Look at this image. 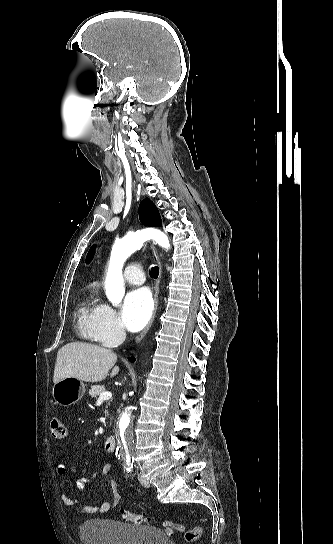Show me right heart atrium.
<instances>
[{
	"label": "right heart atrium",
	"mask_w": 333,
	"mask_h": 544,
	"mask_svg": "<svg viewBox=\"0 0 333 544\" xmlns=\"http://www.w3.org/2000/svg\"><path fill=\"white\" fill-rule=\"evenodd\" d=\"M91 330L95 340L104 346L120 342L125 331L117 312L108 304L98 305L91 321Z\"/></svg>",
	"instance_id": "1"
}]
</instances>
